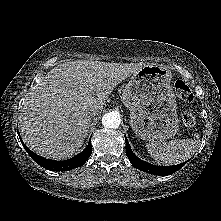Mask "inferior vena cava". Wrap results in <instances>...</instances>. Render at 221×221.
<instances>
[{"instance_id": "obj_1", "label": "inferior vena cava", "mask_w": 221, "mask_h": 221, "mask_svg": "<svg viewBox=\"0 0 221 221\" xmlns=\"http://www.w3.org/2000/svg\"><path fill=\"white\" fill-rule=\"evenodd\" d=\"M99 110L98 109H92L91 111H90V116H95V115H98L99 114Z\"/></svg>"}]
</instances>
